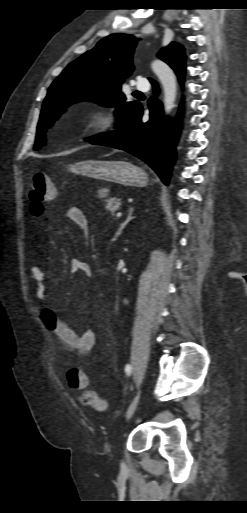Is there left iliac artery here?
<instances>
[{
	"label": "left iliac artery",
	"instance_id": "44dca946",
	"mask_svg": "<svg viewBox=\"0 0 247 513\" xmlns=\"http://www.w3.org/2000/svg\"><path fill=\"white\" fill-rule=\"evenodd\" d=\"M125 372H126L127 375L131 374V372H132V365L131 364H127L125 366Z\"/></svg>",
	"mask_w": 247,
	"mask_h": 513
}]
</instances>
